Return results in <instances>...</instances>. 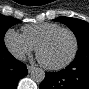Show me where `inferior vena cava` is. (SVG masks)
Returning <instances> with one entry per match:
<instances>
[{"label": "inferior vena cava", "instance_id": "inferior-vena-cava-1", "mask_svg": "<svg viewBox=\"0 0 89 89\" xmlns=\"http://www.w3.org/2000/svg\"><path fill=\"white\" fill-rule=\"evenodd\" d=\"M18 59L21 60V61H25V56L22 55V54H20V55L18 56Z\"/></svg>", "mask_w": 89, "mask_h": 89}]
</instances>
